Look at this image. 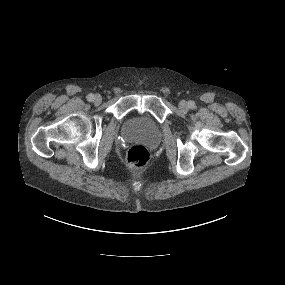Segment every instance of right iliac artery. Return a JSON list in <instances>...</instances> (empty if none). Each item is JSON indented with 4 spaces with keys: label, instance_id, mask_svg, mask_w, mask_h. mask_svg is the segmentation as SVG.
I'll return each mask as SVG.
<instances>
[{
    "label": "right iliac artery",
    "instance_id": "1",
    "mask_svg": "<svg viewBox=\"0 0 285 285\" xmlns=\"http://www.w3.org/2000/svg\"><path fill=\"white\" fill-rule=\"evenodd\" d=\"M87 100L88 101H93L94 100V95L93 94H89L88 96H87Z\"/></svg>",
    "mask_w": 285,
    "mask_h": 285
}]
</instances>
